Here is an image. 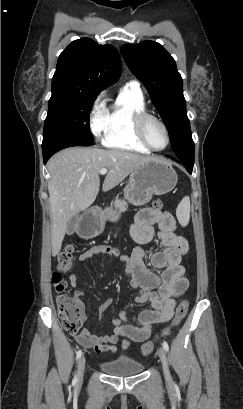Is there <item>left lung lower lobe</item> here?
<instances>
[{"label": "left lung lower lobe", "mask_w": 243, "mask_h": 409, "mask_svg": "<svg viewBox=\"0 0 243 409\" xmlns=\"http://www.w3.org/2000/svg\"><path fill=\"white\" fill-rule=\"evenodd\" d=\"M168 156V155H167ZM169 158H171V159H174V158H172V157H170V156H168ZM174 160H176V159H174ZM183 165L185 166V168L187 169V171L191 174L192 173V169H193V164H188V163H183Z\"/></svg>", "instance_id": "1"}]
</instances>
